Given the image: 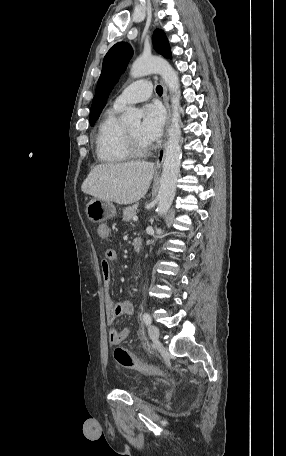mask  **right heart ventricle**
Listing matches in <instances>:
<instances>
[{
	"label": "right heart ventricle",
	"instance_id": "1",
	"mask_svg": "<svg viewBox=\"0 0 286 456\" xmlns=\"http://www.w3.org/2000/svg\"><path fill=\"white\" fill-rule=\"evenodd\" d=\"M123 108L108 109L99 124L95 145L98 159L107 164H117L130 159L126 149L124 130L118 115Z\"/></svg>",
	"mask_w": 286,
	"mask_h": 456
}]
</instances>
